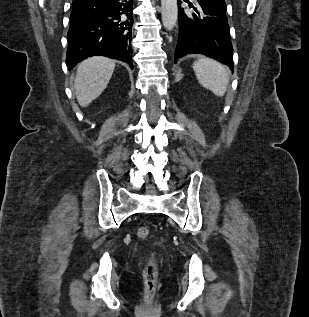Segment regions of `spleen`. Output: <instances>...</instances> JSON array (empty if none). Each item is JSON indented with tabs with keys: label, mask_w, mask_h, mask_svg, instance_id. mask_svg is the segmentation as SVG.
<instances>
[{
	"label": "spleen",
	"mask_w": 309,
	"mask_h": 317,
	"mask_svg": "<svg viewBox=\"0 0 309 317\" xmlns=\"http://www.w3.org/2000/svg\"><path fill=\"white\" fill-rule=\"evenodd\" d=\"M193 69L204 88L220 97L226 93L229 74L222 64L212 59L201 58L193 64Z\"/></svg>",
	"instance_id": "obj_1"
}]
</instances>
